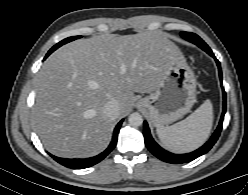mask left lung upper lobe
<instances>
[{
  "label": "left lung upper lobe",
  "mask_w": 248,
  "mask_h": 195,
  "mask_svg": "<svg viewBox=\"0 0 248 195\" xmlns=\"http://www.w3.org/2000/svg\"><path fill=\"white\" fill-rule=\"evenodd\" d=\"M181 36L189 42H192L199 46L201 49H210L209 46L196 34L191 32H181Z\"/></svg>",
  "instance_id": "obj_1"
}]
</instances>
